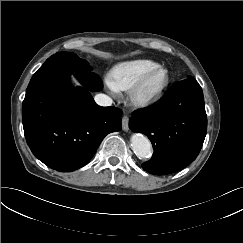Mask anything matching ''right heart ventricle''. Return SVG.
Returning a JSON list of instances; mask_svg holds the SVG:
<instances>
[{
  "label": "right heart ventricle",
  "instance_id": "right-heart-ventricle-1",
  "mask_svg": "<svg viewBox=\"0 0 243 243\" xmlns=\"http://www.w3.org/2000/svg\"><path fill=\"white\" fill-rule=\"evenodd\" d=\"M159 64L149 59L126 61L116 65L109 76V83L119 91L129 90L140 78Z\"/></svg>",
  "mask_w": 243,
  "mask_h": 243
}]
</instances>
